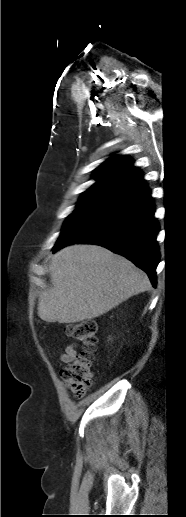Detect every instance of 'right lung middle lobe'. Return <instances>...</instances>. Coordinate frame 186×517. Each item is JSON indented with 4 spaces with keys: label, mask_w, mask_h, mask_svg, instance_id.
Listing matches in <instances>:
<instances>
[{
    "label": "right lung middle lobe",
    "mask_w": 186,
    "mask_h": 517,
    "mask_svg": "<svg viewBox=\"0 0 186 517\" xmlns=\"http://www.w3.org/2000/svg\"><path fill=\"white\" fill-rule=\"evenodd\" d=\"M114 204L115 202L110 200L80 198L77 208L65 221L62 233L56 244L62 243L73 233L104 213Z\"/></svg>",
    "instance_id": "obj_1"
}]
</instances>
